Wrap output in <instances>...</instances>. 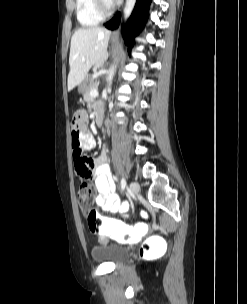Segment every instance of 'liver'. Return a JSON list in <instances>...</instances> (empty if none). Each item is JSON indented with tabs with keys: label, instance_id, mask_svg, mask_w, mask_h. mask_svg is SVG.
Segmentation results:
<instances>
[{
	"label": "liver",
	"instance_id": "liver-1",
	"mask_svg": "<svg viewBox=\"0 0 247 304\" xmlns=\"http://www.w3.org/2000/svg\"><path fill=\"white\" fill-rule=\"evenodd\" d=\"M111 32L101 27L77 29L71 39L68 90L80 85L92 68L96 71L108 58Z\"/></svg>",
	"mask_w": 247,
	"mask_h": 304
}]
</instances>
